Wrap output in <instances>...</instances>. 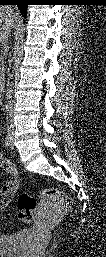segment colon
Wrapping results in <instances>:
<instances>
[{
    "label": "colon",
    "mask_w": 106,
    "mask_h": 257,
    "mask_svg": "<svg viewBox=\"0 0 106 257\" xmlns=\"http://www.w3.org/2000/svg\"><path fill=\"white\" fill-rule=\"evenodd\" d=\"M38 195L42 202L38 203L34 194L23 192L18 197V217L24 223L34 220L35 211L49 204L58 205L60 210L67 211L72 207V199L63 191L56 188H42Z\"/></svg>",
    "instance_id": "5ec220e1"
}]
</instances>
